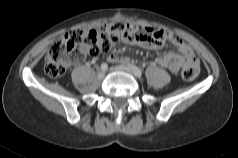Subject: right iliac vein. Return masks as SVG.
<instances>
[{
  "label": "right iliac vein",
  "mask_w": 238,
  "mask_h": 158,
  "mask_svg": "<svg viewBox=\"0 0 238 158\" xmlns=\"http://www.w3.org/2000/svg\"><path fill=\"white\" fill-rule=\"evenodd\" d=\"M104 76H105V72H104V71H100V72L98 73V78H99L100 80L103 79Z\"/></svg>",
  "instance_id": "63e3f726"
}]
</instances>
